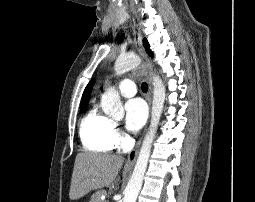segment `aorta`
<instances>
[{"instance_id": "obj_1", "label": "aorta", "mask_w": 255, "mask_h": 202, "mask_svg": "<svg viewBox=\"0 0 255 202\" xmlns=\"http://www.w3.org/2000/svg\"><path fill=\"white\" fill-rule=\"evenodd\" d=\"M140 63V57L135 54H126L123 56H119L115 62L116 74L119 75L131 69H134L138 67ZM152 79L153 101L150 126L143 139L132 176L125 189L123 202H136L137 200L147 169L152 143L164 107V102L166 98L165 86L158 75H153ZM101 106L104 113L109 115L111 118L120 119L124 115V110L120 100L119 92L114 87L110 88L102 95Z\"/></svg>"}]
</instances>
